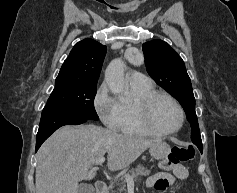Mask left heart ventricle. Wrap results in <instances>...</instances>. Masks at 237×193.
I'll return each instance as SVG.
<instances>
[{
    "mask_svg": "<svg viewBox=\"0 0 237 193\" xmlns=\"http://www.w3.org/2000/svg\"><path fill=\"white\" fill-rule=\"evenodd\" d=\"M150 123L159 130H173L180 123V114L177 107L168 99H158L152 107Z\"/></svg>",
    "mask_w": 237,
    "mask_h": 193,
    "instance_id": "left-heart-ventricle-1",
    "label": "left heart ventricle"
}]
</instances>
